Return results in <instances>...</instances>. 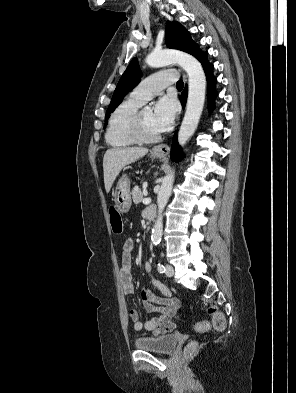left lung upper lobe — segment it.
Listing matches in <instances>:
<instances>
[{
  "label": "left lung upper lobe",
  "instance_id": "obj_1",
  "mask_svg": "<svg viewBox=\"0 0 296 393\" xmlns=\"http://www.w3.org/2000/svg\"><path fill=\"white\" fill-rule=\"evenodd\" d=\"M165 38L167 47L190 53L197 59H200L206 53L199 50L197 44L191 39L189 32L178 22H167ZM140 77L141 70L137 59L134 58L117 84L106 112L105 124L113 110L121 103L123 97L138 85Z\"/></svg>",
  "mask_w": 296,
  "mask_h": 393
}]
</instances>
